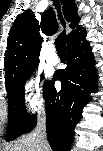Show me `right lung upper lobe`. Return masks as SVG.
<instances>
[{"label":"right lung upper lobe","instance_id":"cb5924a9","mask_svg":"<svg viewBox=\"0 0 103 151\" xmlns=\"http://www.w3.org/2000/svg\"><path fill=\"white\" fill-rule=\"evenodd\" d=\"M63 14L74 29L80 20L73 0H61ZM58 23L54 11L49 9L42 15L41 22L35 19L31 10L17 16L9 32L7 50L5 51V83L8 88L22 73L39 63L42 38L39 31L48 35L56 33ZM83 30H73L68 40L74 39Z\"/></svg>","mask_w":103,"mask_h":151}]
</instances>
